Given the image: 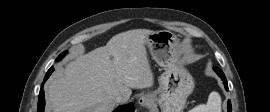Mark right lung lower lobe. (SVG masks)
<instances>
[{
	"mask_svg": "<svg viewBox=\"0 0 270 112\" xmlns=\"http://www.w3.org/2000/svg\"><path fill=\"white\" fill-rule=\"evenodd\" d=\"M53 71H54V68L51 67L46 73L44 81L41 84V89H40L39 98H38L37 112H44L45 98H44L43 86H44V82L49 78V76L51 75ZM134 110L135 108L133 104L130 103V104L118 107L114 112H134Z\"/></svg>",
	"mask_w": 270,
	"mask_h": 112,
	"instance_id": "1",
	"label": "right lung lower lobe"
}]
</instances>
